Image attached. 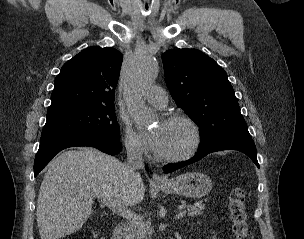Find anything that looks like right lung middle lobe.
I'll list each match as a JSON object with an SVG mask.
<instances>
[{
    "label": "right lung middle lobe",
    "mask_w": 304,
    "mask_h": 239,
    "mask_svg": "<svg viewBox=\"0 0 304 239\" xmlns=\"http://www.w3.org/2000/svg\"><path fill=\"white\" fill-rule=\"evenodd\" d=\"M88 134L120 141L114 105L74 108L47 114L41 137Z\"/></svg>",
    "instance_id": "dd1d6c3e"
}]
</instances>
